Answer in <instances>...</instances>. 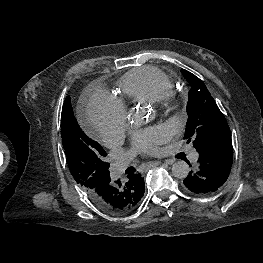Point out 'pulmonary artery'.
Listing matches in <instances>:
<instances>
[{
	"label": "pulmonary artery",
	"instance_id": "pulmonary-artery-1",
	"mask_svg": "<svg viewBox=\"0 0 263 263\" xmlns=\"http://www.w3.org/2000/svg\"><path fill=\"white\" fill-rule=\"evenodd\" d=\"M189 159L192 162H196L198 159V153L195 150H192L189 155ZM131 160L130 156L120 157L114 164V176L118 177L128 166Z\"/></svg>",
	"mask_w": 263,
	"mask_h": 263
}]
</instances>
